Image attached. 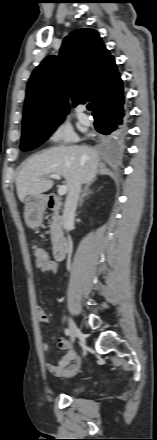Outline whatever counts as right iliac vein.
I'll return each mask as SVG.
<instances>
[{"instance_id": "obj_1", "label": "right iliac vein", "mask_w": 157, "mask_h": 440, "mask_svg": "<svg viewBox=\"0 0 157 440\" xmlns=\"http://www.w3.org/2000/svg\"><path fill=\"white\" fill-rule=\"evenodd\" d=\"M68 323H69V329H70V333H71V341H72V343H74L75 339L81 334V332L71 318H69Z\"/></svg>"}]
</instances>
